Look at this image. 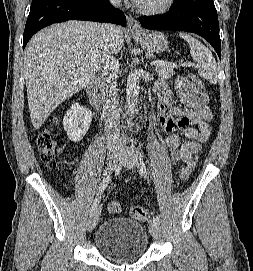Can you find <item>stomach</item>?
<instances>
[{
	"label": "stomach",
	"mask_w": 253,
	"mask_h": 271,
	"mask_svg": "<svg viewBox=\"0 0 253 271\" xmlns=\"http://www.w3.org/2000/svg\"><path fill=\"white\" fill-rule=\"evenodd\" d=\"M136 39L145 49L150 52L160 53L168 47V41L165 35L159 31H143L141 34L132 33Z\"/></svg>",
	"instance_id": "obj_1"
}]
</instances>
